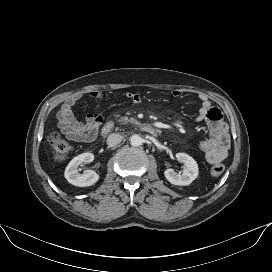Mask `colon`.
Masks as SVG:
<instances>
[{
	"label": "colon",
	"instance_id": "colon-1",
	"mask_svg": "<svg viewBox=\"0 0 272 272\" xmlns=\"http://www.w3.org/2000/svg\"><path fill=\"white\" fill-rule=\"evenodd\" d=\"M48 146L52 153L53 159L56 162L65 161L73 148L69 142H67L64 138L61 137L58 133H52L48 137ZM225 170V166L222 164H216L211 168V174L213 176L221 175Z\"/></svg>",
	"mask_w": 272,
	"mask_h": 272
}]
</instances>
